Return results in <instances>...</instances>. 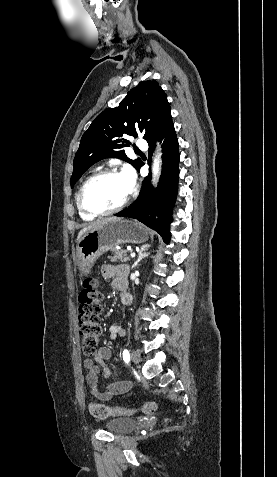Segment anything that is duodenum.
Returning <instances> with one entry per match:
<instances>
[{"label":"duodenum","mask_w":277,"mask_h":477,"mask_svg":"<svg viewBox=\"0 0 277 477\" xmlns=\"http://www.w3.org/2000/svg\"><path fill=\"white\" fill-rule=\"evenodd\" d=\"M123 304L130 305L132 303V299L128 294H124L121 298Z\"/></svg>","instance_id":"obj_1"}]
</instances>
